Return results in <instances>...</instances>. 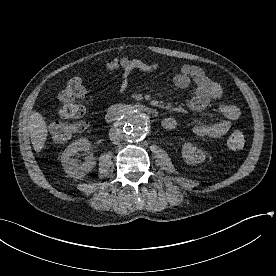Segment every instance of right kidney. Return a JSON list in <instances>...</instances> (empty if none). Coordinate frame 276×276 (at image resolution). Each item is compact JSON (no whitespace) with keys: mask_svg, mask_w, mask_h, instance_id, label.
Listing matches in <instances>:
<instances>
[{"mask_svg":"<svg viewBox=\"0 0 276 276\" xmlns=\"http://www.w3.org/2000/svg\"><path fill=\"white\" fill-rule=\"evenodd\" d=\"M90 147L89 140L83 138L74 141L63 151L61 163L68 176L80 179L95 167L96 159L92 156H88L84 163H79L77 159L72 158V156L78 154L80 151H88Z\"/></svg>","mask_w":276,"mask_h":276,"instance_id":"1","label":"right kidney"}]
</instances>
